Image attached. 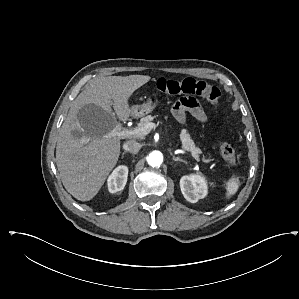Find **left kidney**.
<instances>
[{
	"label": "left kidney",
	"instance_id": "left-kidney-1",
	"mask_svg": "<svg viewBox=\"0 0 299 299\" xmlns=\"http://www.w3.org/2000/svg\"><path fill=\"white\" fill-rule=\"evenodd\" d=\"M180 188L184 198L191 203L206 197L208 192L206 179L198 174L183 176L180 179Z\"/></svg>",
	"mask_w": 299,
	"mask_h": 299
}]
</instances>
